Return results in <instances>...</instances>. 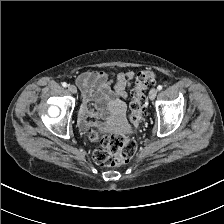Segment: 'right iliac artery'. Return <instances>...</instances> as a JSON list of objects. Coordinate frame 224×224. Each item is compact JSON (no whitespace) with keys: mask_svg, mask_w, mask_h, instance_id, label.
Here are the masks:
<instances>
[{"mask_svg":"<svg viewBox=\"0 0 224 224\" xmlns=\"http://www.w3.org/2000/svg\"><path fill=\"white\" fill-rule=\"evenodd\" d=\"M62 86H63V87H67L68 84H67L66 82H63V83H62Z\"/></svg>","mask_w":224,"mask_h":224,"instance_id":"82829eb1","label":"right iliac artery"}]
</instances>
